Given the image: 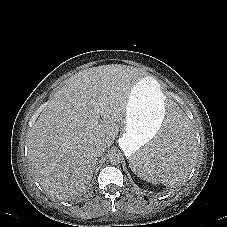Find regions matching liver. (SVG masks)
Returning a JSON list of instances; mask_svg holds the SVG:
<instances>
[{
	"instance_id": "1",
	"label": "liver",
	"mask_w": 227,
	"mask_h": 227,
	"mask_svg": "<svg viewBox=\"0 0 227 227\" xmlns=\"http://www.w3.org/2000/svg\"><path fill=\"white\" fill-rule=\"evenodd\" d=\"M140 69L102 65L71 76L28 133L29 166L40 186L60 199L80 195L97 164L94 149L110 147L124 121Z\"/></svg>"
}]
</instances>
